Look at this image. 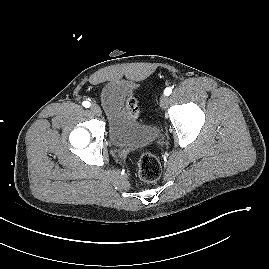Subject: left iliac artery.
I'll list each match as a JSON object with an SVG mask.
<instances>
[{"label":"left iliac artery","instance_id":"44dca946","mask_svg":"<svg viewBox=\"0 0 269 269\" xmlns=\"http://www.w3.org/2000/svg\"><path fill=\"white\" fill-rule=\"evenodd\" d=\"M171 93H172V88H171V87H167V88L164 90V94H165L166 96H169Z\"/></svg>","mask_w":269,"mask_h":269}]
</instances>
